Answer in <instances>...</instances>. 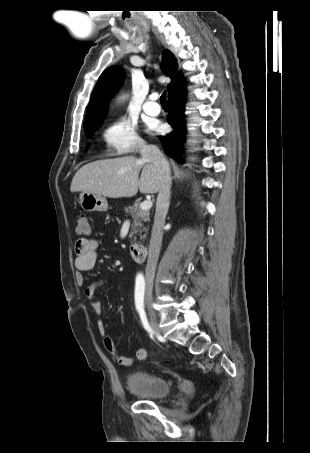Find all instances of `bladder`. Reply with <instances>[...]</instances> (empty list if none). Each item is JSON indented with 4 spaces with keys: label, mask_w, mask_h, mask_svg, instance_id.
I'll use <instances>...</instances> for the list:
<instances>
[{
    "label": "bladder",
    "mask_w": 310,
    "mask_h": 453,
    "mask_svg": "<svg viewBox=\"0 0 310 453\" xmlns=\"http://www.w3.org/2000/svg\"><path fill=\"white\" fill-rule=\"evenodd\" d=\"M127 389L142 399L158 400L170 393V384L162 376L150 372H133L126 382Z\"/></svg>",
    "instance_id": "bladder-1"
}]
</instances>
